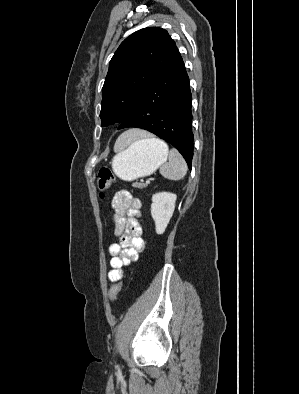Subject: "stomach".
I'll use <instances>...</instances> for the list:
<instances>
[{"mask_svg": "<svg viewBox=\"0 0 299 394\" xmlns=\"http://www.w3.org/2000/svg\"><path fill=\"white\" fill-rule=\"evenodd\" d=\"M168 149L145 139L137 140L118 153L112 162L114 173L122 180L133 181L151 175L166 162Z\"/></svg>", "mask_w": 299, "mask_h": 394, "instance_id": "0dacf381", "label": "stomach"}]
</instances>
